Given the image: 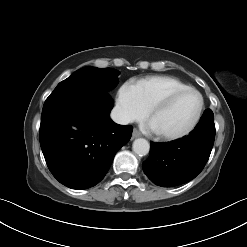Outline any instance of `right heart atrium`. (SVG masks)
I'll use <instances>...</instances> for the list:
<instances>
[{"instance_id":"obj_1","label":"right heart atrium","mask_w":247,"mask_h":247,"mask_svg":"<svg viewBox=\"0 0 247 247\" xmlns=\"http://www.w3.org/2000/svg\"><path fill=\"white\" fill-rule=\"evenodd\" d=\"M116 109L119 117L125 122L140 120L147 112L137 88L129 83H125L119 88Z\"/></svg>"}]
</instances>
